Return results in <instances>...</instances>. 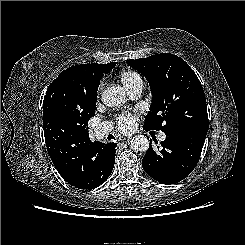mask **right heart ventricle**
Listing matches in <instances>:
<instances>
[{
    "instance_id": "obj_1",
    "label": "right heart ventricle",
    "mask_w": 245,
    "mask_h": 245,
    "mask_svg": "<svg viewBox=\"0 0 245 245\" xmlns=\"http://www.w3.org/2000/svg\"><path fill=\"white\" fill-rule=\"evenodd\" d=\"M119 77L128 91H130L139 82H143L139 73L132 70L121 72Z\"/></svg>"
}]
</instances>
